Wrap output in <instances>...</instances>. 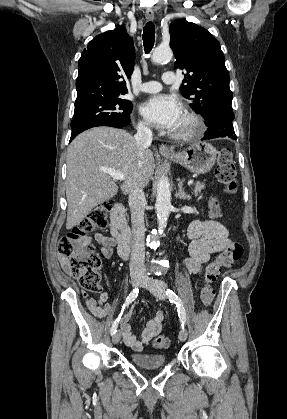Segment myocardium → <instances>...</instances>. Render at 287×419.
Masks as SVG:
<instances>
[{
  "mask_svg": "<svg viewBox=\"0 0 287 419\" xmlns=\"http://www.w3.org/2000/svg\"><path fill=\"white\" fill-rule=\"evenodd\" d=\"M186 120V126L173 134L177 140H189L204 132V123L200 116L190 110H186L183 114Z\"/></svg>",
  "mask_w": 287,
  "mask_h": 419,
  "instance_id": "1",
  "label": "myocardium"
}]
</instances>
